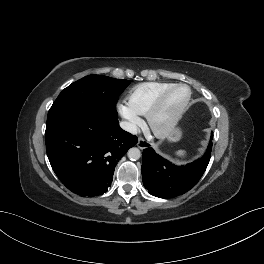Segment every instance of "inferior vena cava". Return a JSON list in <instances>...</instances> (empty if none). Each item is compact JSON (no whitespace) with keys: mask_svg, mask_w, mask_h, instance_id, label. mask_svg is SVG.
I'll list each match as a JSON object with an SVG mask.
<instances>
[{"mask_svg":"<svg viewBox=\"0 0 264 264\" xmlns=\"http://www.w3.org/2000/svg\"><path fill=\"white\" fill-rule=\"evenodd\" d=\"M120 127L129 132V133H132V134H137L139 133V128L134 124V123H131V122H128V121H121L120 122Z\"/></svg>","mask_w":264,"mask_h":264,"instance_id":"obj_1","label":"inferior vena cava"}]
</instances>
